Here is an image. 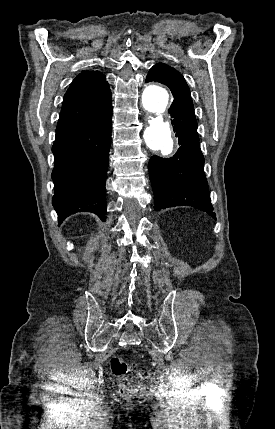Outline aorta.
<instances>
[{
    "label": "aorta",
    "instance_id": "obj_1",
    "mask_svg": "<svg viewBox=\"0 0 275 429\" xmlns=\"http://www.w3.org/2000/svg\"><path fill=\"white\" fill-rule=\"evenodd\" d=\"M169 103L168 90L161 84L151 83L142 94V104L154 116L149 118V126L144 131L146 145L153 151L170 154L173 151L174 137L170 123L164 118Z\"/></svg>",
    "mask_w": 275,
    "mask_h": 429
}]
</instances>
